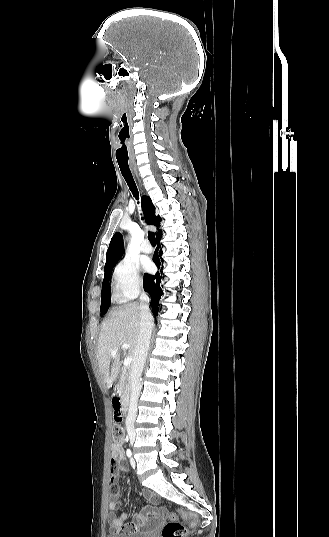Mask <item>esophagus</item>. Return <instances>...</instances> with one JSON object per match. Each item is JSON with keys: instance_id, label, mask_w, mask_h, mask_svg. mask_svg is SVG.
I'll use <instances>...</instances> for the list:
<instances>
[{"instance_id": "esophagus-1", "label": "esophagus", "mask_w": 329, "mask_h": 537, "mask_svg": "<svg viewBox=\"0 0 329 537\" xmlns=\"http://www.w3.org/2000/svg\"><path fill=\"white\" fill-rule=\"evenodd\" d=\"M133 171H134V174L136 175V177L139 179L138 174H137V172H136V170L134 168H133Z\"/></svg>"}]
</instances>
